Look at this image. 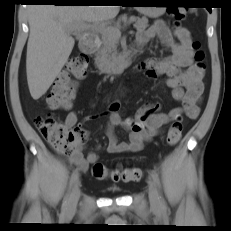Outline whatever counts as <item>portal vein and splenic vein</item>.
Masks as SVG:
<instances>
[{"instance_id": "18ae733b", "label": "portal vein and splenic vein", "mask_w": 231, "mask_h": 231, "mask_svg": "<svg viewBox=\"0 0 231 231\" xmlns=\"http://www.w3.org/2000/svg\"><path fill=\"white\" fill-rule=\"evenodd\" d=\"M135 21V18H130L128 23H133ZM94 29L95 31L99 32V33H106L109 35H112L116 38H120L121 36V31L120 29H116L112 26H108L105 23H101V22H97V23H92V24H87V23H83L82 25H80L79 27H70L68 29V33H73L76 31H84L87 29Z\"/></svg>"}]
</instances>
